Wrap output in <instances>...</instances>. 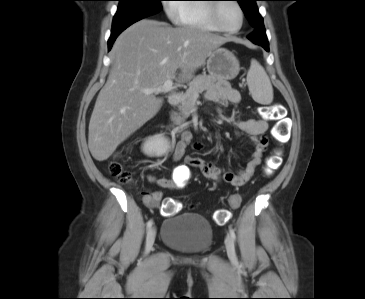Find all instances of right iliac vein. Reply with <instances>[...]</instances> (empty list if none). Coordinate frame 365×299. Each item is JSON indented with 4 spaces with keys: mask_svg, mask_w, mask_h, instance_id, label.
<instances>
[{
    "mask_svg": "<svg viewBox=\"0 0 365 299\" xmlns=\"http://www.w3.org/2000/svg\"><path fill=\"white\" fill-rule=\"evenodd\" d=\"M155 236H156V230H155V228H151L148 231V234L146 237L145 250H144L145 255H148L150 253V251L152 250L153 244L155 242Z\"/></svg>",
    "mask_w": 365,
    "mask_h": 299,
    "instance_id": "63e3f726",
    "label": "right iliac vein"
}]
</instances>
